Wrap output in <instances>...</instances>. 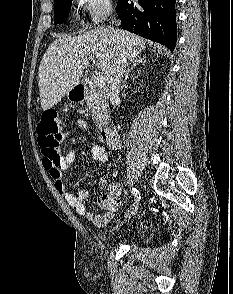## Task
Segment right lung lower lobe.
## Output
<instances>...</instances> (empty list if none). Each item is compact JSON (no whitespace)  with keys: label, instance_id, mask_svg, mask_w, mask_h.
Listing matches in <instances>:
<instances>
[{"label":"right lung lower lobe","instance_id":"right-lung-lower-lobe-1","mask_svg":"<svg viewBox=\"0 0 233 294\" xmlns=\"http://www.w3.org/2000/svg\"><path fill=\"white\" fill-rule=\"evenodd\" d=\"M122 28L174 50L177 41L175 0H118Z\"/></svg>","mask_w":233,"mask_h":294}]
</instances>
